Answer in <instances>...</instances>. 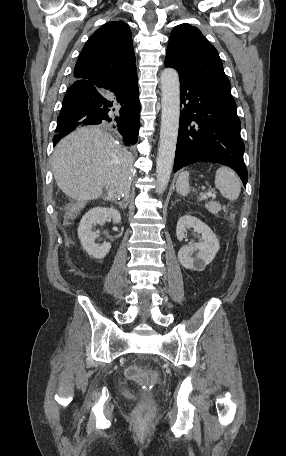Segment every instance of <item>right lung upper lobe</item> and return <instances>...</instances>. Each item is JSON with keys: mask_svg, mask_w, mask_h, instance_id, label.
<instances>
[{"mask_svg": "<svg viewBox=\"0 0 286 456\" xmlns=\"http://www.w3.org/2000/svg\"><path fill=\"white\" fill-rule=\"evenodd\" d=\"M74 77L106 86L137 77L129 26L115 21L96 30L78 57Z\"/></svg>", "mask_w": 286, "mask_h": 456, "instance_id": "1", "label": "right lung upper lobe"}]
</instances>
